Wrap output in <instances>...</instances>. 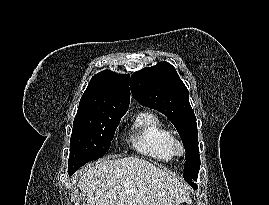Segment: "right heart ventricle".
Listing matches in <instances>:
<instances>
[{"instance_id":"obj_1","label":"right heart ventricle","mask_w":269,"mask_h":205,"mask_svg":"<svg viewBox=\"0 0 269 205\" xmlns=\"http://www.w3.org/2000/svg\"><path fill=\"white\" fill-rule=\"evenodd\" d=\"M174 135L162 120L152 112H141L131 125L129 142L140 155L157 162L174 158Z\"/></svg>"}]
</instances>
